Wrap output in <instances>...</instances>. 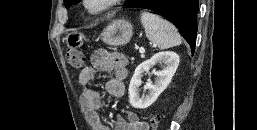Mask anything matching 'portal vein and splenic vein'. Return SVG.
Here are the masks:
<instances>
[{
  "mask_svg": "<svg viewBox=\"0 0 257 130\" xmlns=\"http://www.w3.org/2000/svg\"><path fill=\"white\" fill-rule=\"evenodd\" d=\"M139 52L143 54L145 52L144 48H139Z\"/></svg>",
  "mask_w": 257,
  "mask_h": 130,
  "instance_id": "portal-vein-and-splenic-vein-1",
  "label": "portal vein and splenic vein"
}]
</instances>
